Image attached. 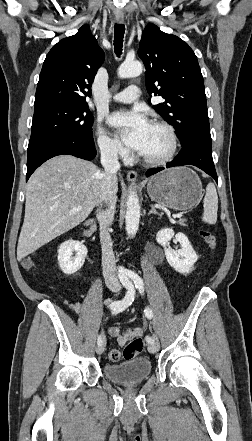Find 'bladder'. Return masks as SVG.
Instances as JSON below:
<instances>
[{
	"label": "bladder",
	"instance_id": "bladder-1",
	"mask_svg": "<svg viewBox=\"0 0 252 441\" xmlns=\"http://www.w3.org/2000/svg\"><path fill=\"white\" fill-rule=\"evenodd\" d=\"M151 361L146 357H133L121 363L104 366L105 377L118 384H132L144 381L151 373Z\"/></svg>",
	"mask_w": 252,
	"mask_h": 441
}]
</instances>
